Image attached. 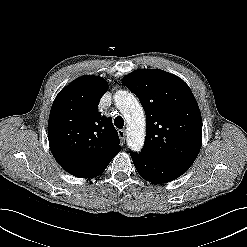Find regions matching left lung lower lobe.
<instances>
[{"label": "left lung lower lobe", "mask_w": 247, "mask_h": 247, "mask_svg": "<svg viewBox=\"0 0 247 247\" xmlns=\"http://www.w3.org/2000/svg\"><path fill=\"white\" fill-rule=\"evenodd\" d=\"M131 157L139 175L156 184L167 183L178 178L191 166L185 163L160 160L142 152L138 154L131 151Z\"/></svg>", "instance_id": "left-lung-lower-lobe-1"}]
</instances>
